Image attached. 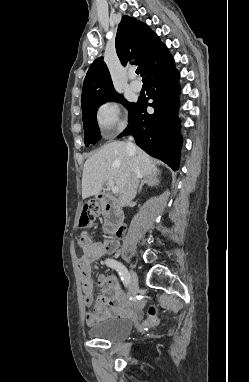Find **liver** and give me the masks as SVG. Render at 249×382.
Segmentation results:
<instances>
[{"label": "liver", "mask_w": 249, "mask_h": 382, "mask_svg": "<svg viewBox=\"0 0 249 382\" xmlns=\"http://www.w3.org/2000/svg\"><path fill=\"white\" fill-rule=\"evenodd\" d=\"M136 165L140 177L157 175L159 172L151 158L142 149L134 151L127 148V143L114 141L105 144L86 160L82 176V198L86 199L101 193L106 182H114L122 193L133 166Z\"/></svg>", "instance_id": "6515ba94"}]
</instances>
